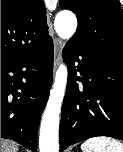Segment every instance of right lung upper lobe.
<instances>
[{
    "label": "right lung upper lobe",
    "mask_w": 123,
    "mask_h": 152,
    "mask_svg": "<svg viewBox=\"0 0 123 152\" xmlns=\"http://www.w3.org/2000/svg\"><path fill=\"white\" fill-rule=\"evenodd\" d=\"M42 0H1V60L21 57L49 36Z\"/></svg>",
    "instance_id": "cb5924a9"
}]
</instances>
